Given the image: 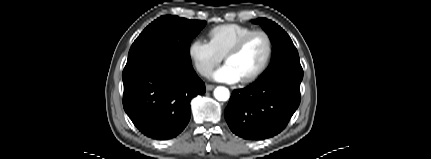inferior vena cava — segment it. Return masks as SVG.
Masks as SVG:
<instances>
[{
	"label": "inferior vena cava",
	"mask_w": 431,
	"mask_h": 159,
	"mask_svg": "<svg viewBox=\"0 0 431 159\" xmlns=\"http://www.w3.org/2000/svg\"><path fill=\"white\" fill-rule=\"evenodd\" d=\"M212 69L211 68H204L203 70H201V74L203 76L208 77L211 74Z\"/></svg>",
	"instance_id": "602c4592"
}]
</instances>
